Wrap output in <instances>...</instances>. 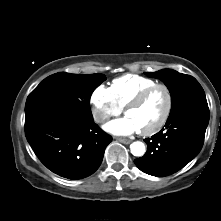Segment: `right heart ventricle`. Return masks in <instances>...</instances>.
<instances>
[{
	"label": "right heart ventricle",
	"mask_w": 221,
	"mask_h": 221,
	"mask_svg": "<svg viewBox=\"0 0 221 221\" xmlns=\"http://www.w3.org/2000/svg\"><path fill=\"white\" fill-rule=\"evenodd\" d=\"M156 83L148 77L126 74L114 79L110 89L117 104L124 108L139 93Z\"/></svg>",
	"instance_id": "e07e8e85"
}]
</instances>
